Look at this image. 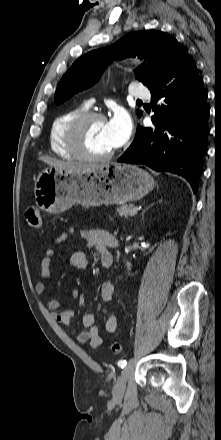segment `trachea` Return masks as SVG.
I'll return each instance as SVG.
<instances>
[{"label": "trachea", "instance_id": "obj_1", "mask_svg": "<svg viewBox=\"0 0 221 440\" xmlns=\"http://www.w3.org/2000/svg\"><path fill=\"white\" fill-rule=\"evenodd\" d=\"M137 102H141V100H137Z\"/></svg>", "mask_w": 221, "mask_h": 440}]
</instances>
